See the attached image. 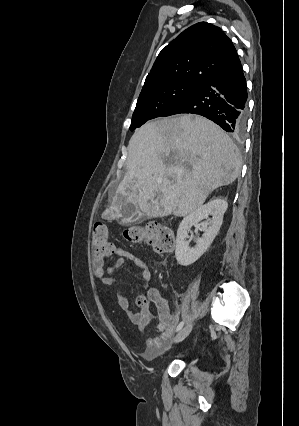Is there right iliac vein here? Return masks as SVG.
Wrapping results in <instances>:
<instances>
[{
	"instance_id": "obj_1",
	"label": "right iliac vein",
	"mask_w": 299,
	"mask_h": 426,
	"mask_svg": "<svg viewBox=\"0 0 299 426\" xmlns=\"http://www.w3.org/2000/svg\"><path fill=\"white\" fill-rule=\"evenodd\" d=\"M193 327L192 322H189L173 339L174 343H179L183 341L191 332Z\"/></svg>"
}]
</instances>
